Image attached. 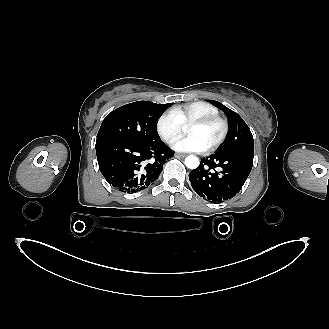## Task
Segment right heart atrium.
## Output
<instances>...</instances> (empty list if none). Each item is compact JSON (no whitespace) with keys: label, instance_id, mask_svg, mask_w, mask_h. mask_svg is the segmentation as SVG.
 Returning a JSON list of instances; mask_svg holds the SVG:
<instances>
[{"label":"right heart atrium","instance_id":"right-heart-atrium-1","mask_svg":"<svg viewBox=\"0 0 329 329\" xmlns=\"http://www.w3.org/2000/svg\"><path fill=\"white\" fill-rule=\"evenodd\" d=\"M156 131L160 138L167 144L179 138L183 125L172 110L163 112L156 120Z\"/></svg>","mask_w":329,"mask_h":329}]
</instances>
